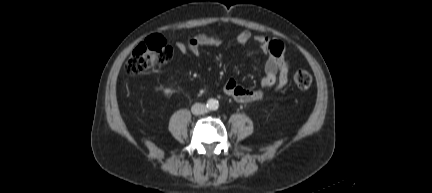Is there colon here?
<instances>
[{"mask_svg":"<svg viewBox=\"0 0 432 193\" xmlns=\"http://www.w3.org/2000/svg\"><path fill=\"white\" fill-rule=\"evenodd\" d=\"M173 54L172 47L160 35H153L137 45L124 65L129 75H139L145 71L166 64ZM293 80L300 89H308L312 84L311 74L303 69L296 70Z\"/></svg>","mask_w":432,"mask_h":193,"instance_id":"5ec220e1","label":"colon"}]
</instances>
